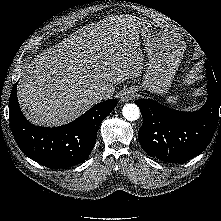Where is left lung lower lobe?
Masks as SVG:
<instances>
[{"mask_svg": "<svg viewBox=\"0 0 221 221\" xmlns=\"http://www.w3.org/2000/svg\"><path fill=\"white\" fill-rule=\"evenodd\" d=\"M206 68L208 99L198 111H177L149 99L135 101L143 117L138 140L149 156L183 164L202 153L221 127V83L215 80L211 66Z\"/></svg>", "mask_w": 221, "mask_h": 221, "instance_id": "obj_1", "label": "left lung lower lobe"}]
</instances>
